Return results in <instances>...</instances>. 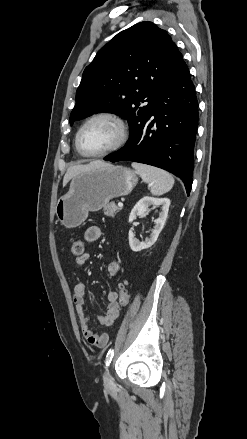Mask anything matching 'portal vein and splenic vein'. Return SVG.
I'll return each mask as SVG.
<instances>
[{
	"instance_id": "18ae733b",
	"label": "portal vein and splenic vein",
	"mask_w": 247,
	"mask_h": 439,
	"mask_svg": "<svg viewBox=\"0 0 247 439\" xmlns=\"http://www.w3.org/2000/svg\"><path fill=\"white\" fill-rule=\"evenodd\" d=\"M118 206L119 207H123V203L122 202H118Z\"/></svg>"
}]
</instances>
